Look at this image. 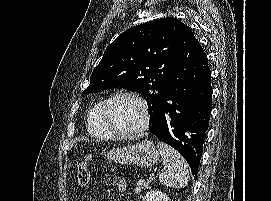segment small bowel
<instances>
[{
	"mask_svg": "<svg viewBox=\"0 0 271 201\" xmlns=\"http://www.w3.org/2000/svg\"><path fill=\"white\" fill-rule=\"evenodd\" d=\"M115 184L119 191H125L127 188V181L125 178L117 176L114 178Z\"/></svg>",
	"mask_w": 271,
	"mask_h": 201,
	"instance_id": "small-bowel-1",
	"label": "small bowel"
}]
</instances>
